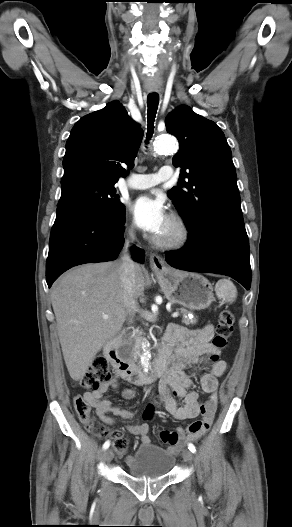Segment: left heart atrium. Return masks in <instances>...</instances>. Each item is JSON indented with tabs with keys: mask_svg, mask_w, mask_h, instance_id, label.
Wrapping results in <instances>:
<instances>
[{
	"mask_svg": "<svg viewBox=\"0 0 292 527\" xmlns=\"http://www.w3.org/2000/svg\"><path fill=\"white\" fill-rule=\"evenodd\" d=\"M131 213L139 228L159 235L169 222L161 199L149 195L138 197L131 205Z\"/></svg>",
	"mask_w": 292,
	"mask_h": 527,
	"instance_id": "1",
	"label": "left heart atrium"
}]
</instances>
